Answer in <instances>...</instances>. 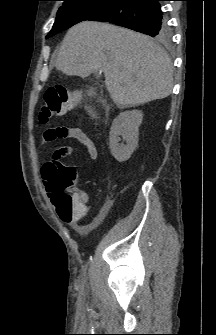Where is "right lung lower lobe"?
I'll list each match as a JSON object with an SVG mask.
<instances>
[{
    "mask_svg": "<svg viewBox=\"0 0 216 335\" xmlns=\"http://www.w3.org/2000/svg\"><path fill=\"white\" fill-rule=\"evenodd\" d=\"M160 1L116 0L89 20L110 22L157 37L167 29Z\"/></svg>",
    "mask_w": 216,
    "mask_h": 335,
    "instance_id": "98d812e1",
    "label": "right lung lower lobe"
}]
</instances>
